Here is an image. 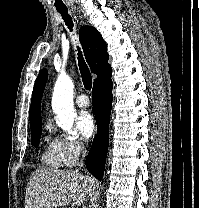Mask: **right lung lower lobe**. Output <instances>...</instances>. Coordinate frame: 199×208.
<instances>
[{"mask_svg": "<svg viewBox=\"0 0 199 208\" xmlns=\"http://www.w3.org/2000/svg\"><path fill=\"white\" fill-rule=\"evenodd\" d=\"M112 99L111 78L93 85L92 105L97 123V134L85 163L87 170L98 180L102 179L105 169Z\"/></svg>", "mask_w": 199, "mask_h": 208, "instance_id": "98d812e1", "label": "right lung lower lobe"}]
</instances>
